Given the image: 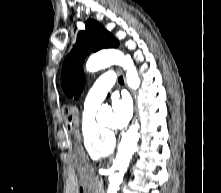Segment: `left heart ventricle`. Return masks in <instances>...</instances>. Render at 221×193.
Wrapping results in <instances>:
<instances>
[{
  "label": "left heart ventricle",
  "mask_w": 221,
  "mask_h": 193,
  "mask_svg": "<svg viewBox=\"0 0 221 193\" xmlns=\"http://www.w3.org/2000/svg\"><path fill=\"white\" fill-rule=\"evenodd\" d=\"M104 125H105V126H108V127H112V126H113V118H112V117H109V118L104 122Z\"/></svg>",
  "instance_id": "left-heart-ventricle-1"
}]
</instances>
